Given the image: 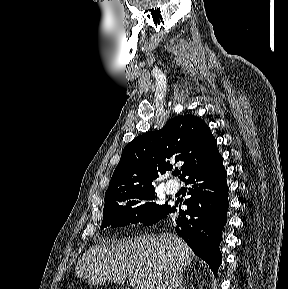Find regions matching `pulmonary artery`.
Wrapping results in <instances>:
<instances>
[{
  "instance_id": "e3ab8cb5",
  "label": "pulmonary artery",
  "mask_w": 288,
  "mask_h": 289,
  "mask_svg": "<svg viewBox=\"0 0 288 289\" xmlns=\"http://www.w3.org/2000/svg\"><path fill=\"white\" fill-rule=\"evenodd\" d=\"M165 190L170 194H175L179 190V184L173 180L167 181L165 184Z\"/></svg>"
}]
</instances>
